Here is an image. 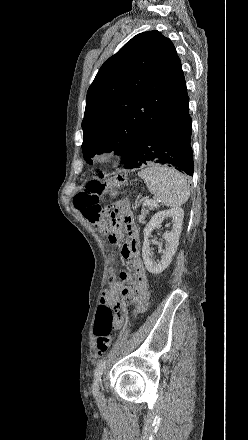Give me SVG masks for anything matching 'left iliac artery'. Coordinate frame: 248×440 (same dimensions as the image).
<instances>
[{"mask_svg": "<svg viewBox=\"0 0 248 440\" xmlns=\"http://www.w3.org/2000/svg\"><path fill=\"white\" fill-rule=\"evenodd\" d=\"M105 367H106V359H101L98 362L97 367L94 371V384H95V386H98V384L100 383Z\"/></svg>", "mask_w": 248, "mask_h": 440, "instance_id": "1", "label": "left iliac artery"}]
</instances>
